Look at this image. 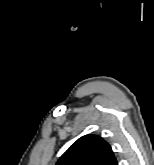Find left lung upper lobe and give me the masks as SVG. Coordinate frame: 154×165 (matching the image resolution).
<instances>
[{
  "label": "left lung upper lobe",
  "mask_w": 154,
  "mask_h": 165,
  "mask_svg": "<svg viewBox=\"0 0 154 165\" xmlns=\"http://www.w3.org/2000/svg\"><path fill=\"white\" fill-rule=\"evenodd\" d=\"M56 165H118V163L107 142L96 135H85L71 145Z\"/></svg>",
  "instance_id": "1"
}]
</instances>
